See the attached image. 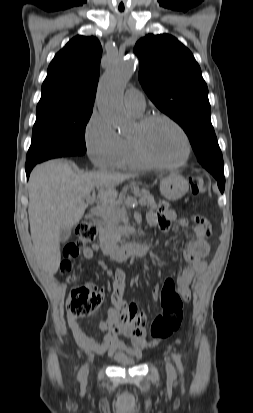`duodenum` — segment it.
Wrapping results in <instances>:
<instances>
[{
  "label": "duodenum",
  "instance_id": "obj_1",
  "mask_svg": "<svg viewBox=\"0 0 253 413\" xmlns=\"http://www.w3.org/2000/svg\"><path fill=\"white\" fill-rule=\"evenodd\" d=\"M100 245L102 253L115 261H124L133 256L143 257L152 248L151 243H131L115 247L110 244L104 225H100Z\"/></svg>",
  "mask_w": 253,
  "mask_h": 413
}]
</instances>
